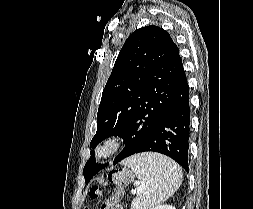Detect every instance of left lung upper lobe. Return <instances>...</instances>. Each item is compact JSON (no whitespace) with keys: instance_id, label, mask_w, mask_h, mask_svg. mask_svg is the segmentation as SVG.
<instances>
[{"instance_id":"5c2ea615","label":"left lung upper lobe","mask_w":253,"mask_h":209,"mask_svg":"<svg viewBox=\"0 0 253 209\" xmlns=\"http://www.w3.org/2000/svg\"><path fill=\"white\" fill-rule=\"evenodd\" d=\"M182 72V60L169 33L157 26L134 31L120 50L103 90L90 147L119 136L126 146L113 164L135 154L169 107ZM91 153L83 169L86 182L108 165L96 163Z\"/></svg>"}]
</instances>
